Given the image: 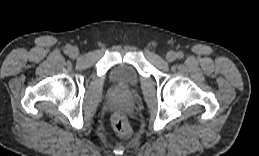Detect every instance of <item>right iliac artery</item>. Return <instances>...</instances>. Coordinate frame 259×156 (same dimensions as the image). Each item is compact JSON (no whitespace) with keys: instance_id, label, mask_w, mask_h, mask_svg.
<instances>
[{"instance_id":"right-iliac-artery-1","label":"right iliac artery","mask_w":259,"mask_h":156,"mask_svg":"<svg viewBox=\"0 0 259 156\" xmlns=\"http://www.w3.org/2000/svg\"><path fill=\"white\" fill-rule=\"evenodd\" d=\"M70 49H71V46L70 45H66L65 53H69Z\"/></svg>"}]
</instances>
